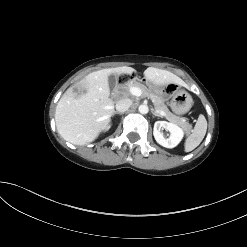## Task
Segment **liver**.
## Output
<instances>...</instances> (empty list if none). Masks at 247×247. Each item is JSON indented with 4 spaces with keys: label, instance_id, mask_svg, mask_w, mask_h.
I'll use <instances>...</instances> for the list:
<instances>
[{
    "label": "liver",
    "instance_id": "liver-1",
    "mask_svg": "<svg viewBox=\"0 0 247 247\" xmlns=\"http://www.w3.org/2000/svg\"><path fill=\"white\" fill-rule=\"evenodd\" d=\"M132 73L135 69L127 66L89 73L78 83L86 90L79 97L73 88H69L60 98L55 111L56 128L61 137L75 145L94 141L114 113V101L109 98L108 76ZM144 76L156 86L170 83L186 86L181 78L167 70L149 67Z\"/></svg>",
    "mask_w": 247,
    "mask_h": 247
}]
</instances>
